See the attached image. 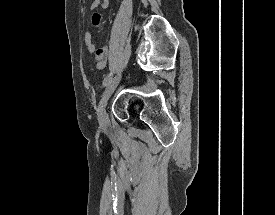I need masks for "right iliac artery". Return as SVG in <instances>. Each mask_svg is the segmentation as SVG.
<instances>
[{
	"instance_id": "1",
	"label": "right iliac artery",
	"mask_w": 275,
	"mask_h": 215,
	"mask_svg": "<svg viewBox=\"0 0 275 215\" xmlns=\"http://www.w3.org/2000/svg\"><path fill=\"white\" fill-rule=\"evenodd\" d=\"M111 76H112V71L105 77L104 82H103L104 86L107 85V83L111 79Z\"/></svg>"
}]
</instances>
